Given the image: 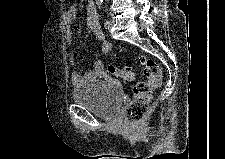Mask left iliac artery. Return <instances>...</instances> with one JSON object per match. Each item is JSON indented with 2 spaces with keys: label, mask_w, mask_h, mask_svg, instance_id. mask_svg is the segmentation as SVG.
<instances>
[{
  "label": "left iliac artery",
  "mask_w": 225,
  "mask_h": 159,
  "mask_svg": "<svg viewBox=\"0 0 225 159\" xmlns=\"http://www.w3.org/2000/svg\"><path fill=\"white\" fill-rule=\"evenodd\" d=\"M108 23H109V21H108V20H106V21H105V23H104V25H105V26H107V25H108Z\"/></svg>",
  "instance_id": "obj_1"
}]
</instances>
